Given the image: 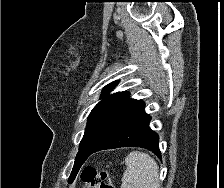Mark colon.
<instances>
[{
    "mask_svg": "<svg viewBox=\"0 0 224 188\" xmlns=\"http://www.w3.org/2000/svg\"><path fill=\"white\" fill-rule=\"evenodd\" d=\"M80 180L82 188H115L113 182L105 173H99L94 167H86L81 175Z\"/></svg>",
    "mask_w": 224,
    "mask_h": 188,
    "instance_id": "colon-1",
    "label": "colon"
}]
</instances>
